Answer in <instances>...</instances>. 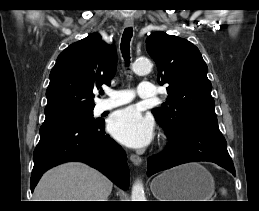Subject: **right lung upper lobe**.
<instances>
[{
    "label": "right lung upper lobe",
    "mask_w": 259,
    "mask_h": 211,
    "mask_svg": "<svg viewBox=\"0 0 259 211\" xmlns=\"http://www.w3.org/2000/svg\"><path fill=\"white\" fill-rule=\"evenodd\" d=\"M116 67L115 47L102 41L97 33L68 46L50 72L44 123L92 111L93 90L110 85Z\"/></svg>",
    "instance_id": "cb5924a9"
}]
</instances>
